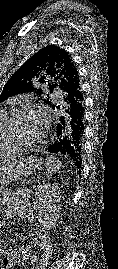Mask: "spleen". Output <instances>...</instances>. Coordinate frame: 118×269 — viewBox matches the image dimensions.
Here are the masks:
<instances>
[{
  "mask_svg": "<svg viewBox=\"0 0 118 269\" xmlns=\"http://www.w3.org/2000/svg\"><path fill=\"white\" fill-rule=\"evenodd\" d=\"M62 163L56 157L50 155L46 158L45 167L49 174L56 173L60 170Z\"/></svg>",
  "mask_w": 118,
  "mask_h": 269,
  "instance_id": "obj_1",
  "label": "spleen"
}]
</instances>
